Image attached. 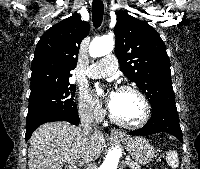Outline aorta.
I'll return each instance as SVG.
<instances>
[{
	"label": "aorta",
	"mask_w": 200,
	"mask_h": 169,
	"mask_svg": "<svg viewBox=\"0 0 200 169\" xmlns=\"http://www.w3.org/2000/svg\"><path fill=\"white\" fill-rule=\"evenodd\" d=\"M113 35H105L102 37H96L90 44L89 54L91 57H101L112 52L114 48ZM120 159V152L118 150H110L107 152L105 159L99 169H117Z\"/></svg>",
	"instance_id": "762f6f07"
}]
</instances>
